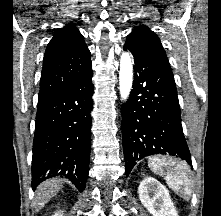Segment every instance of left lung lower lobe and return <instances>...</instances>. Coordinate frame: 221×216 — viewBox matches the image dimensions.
Wrapping results in <instances>:
<instances>
[{"label":"left lung lower lobe","instance_id":"0a47b994","mask_svg":"<svg viewBox=\"0 0 221 216\" xmlns=\"http://www.w3.org/2000/svg\"><path fill=\"white\" fill-rule=\"evenodd\" d=\"M123 48L135 62L133 89L121 108L126 175L137 161L153 154L177 156L192 165L169 64L135 46L125 43Z\"/></svg>","mask_w":221,"mask_h":216}]
</instances>
